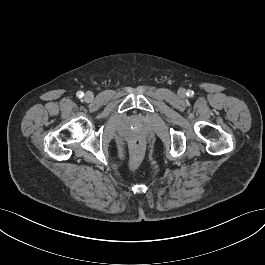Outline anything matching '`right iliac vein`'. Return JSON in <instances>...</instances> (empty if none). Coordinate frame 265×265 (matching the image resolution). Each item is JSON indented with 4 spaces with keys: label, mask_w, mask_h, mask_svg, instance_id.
I'll return each mask as SVG.
<instances>
[{
    "label": "right iliac vein",
    "mask_w": 265,
    "mask_h": 265,
    "mask_svg": "<svg viewBox=\"0 0 265 265\" xmlns=\"http://www.w3.org/2000/svg\"><path fill=\"white\" fill-rule=\"evenodd\" d=\"M85 100H86L87 102H91V101L93 100V94H92L91 92H87V93L85 94Z\"/></svg>",
    "instance_id": "63e3f726"
}]
</instances>
